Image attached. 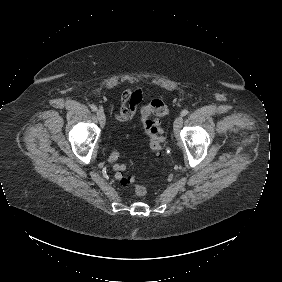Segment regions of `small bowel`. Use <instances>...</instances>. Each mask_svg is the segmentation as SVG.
I'll list each match as a JSON object with an SVG mask.
<instances>
[{
    "mask_svg": "<svg viewBox=\"0 0 282 282\" xmlns=\"http://www.w3.org/2000/svg\"><path fill=\"white\" fill-rule=\"evenodd\" d=\"M142 98L140 87L124 89L120 96L119 110L114 113L115 118L120 122L132 120L141 106Z\"/></svg>",
    "mask_w": 282,
    "mask_h": 282,
    "instance_id": "c3829d8e",
    "label": "small bowel"
}]
</instances>
